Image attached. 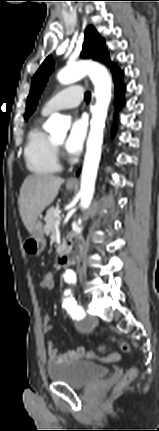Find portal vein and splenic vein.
<instances>
[{"mask_svg": "<svg viewBox=\"0 0 159 431\" xmlns=\"http://www.w3.org/2000/svg\"><path fill=\"white\" fill-rule=\"evenodd\" d=\"M59 225H60V220H59V219H57V220L55 221V227H59Z\"/></svg>", "mask_w": 159, "mask_h": 431, "instance_id": "obj_1", "label": "portal vein and splenic vein"}]
</instances>
